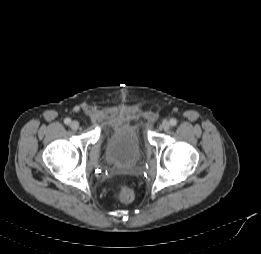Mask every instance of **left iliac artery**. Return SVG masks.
<instances>
[{
    "instance_id": "obj_1",
    "label": "left iliac artery",
    "mask_w": 261,
    "mask_h": 254,
    "mask_svg": "<svg viewBox=\"0 0 261 254\" xmlns=\"http://www.w3.org/2000/svg\"><path fill=\"white\" fill-rule=\"evenodd\" d=\"M170 124H171V126H176L177 120L174 118L170 119Z\"/></svg>"
}]
</instances>
